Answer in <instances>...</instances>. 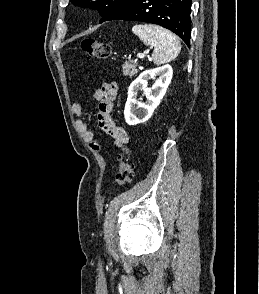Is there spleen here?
Returning a JSON list of instances; mask_svg holds the SVG:
<instances>
[{
	"instance_id": "3e777b00",
	"label": "spleen",
	"mask_w": 259,
	"mask_h": 294,
	"mask_svg": "<svg viewBox=\"0 0 259 294\" xmlns=\"http://www.w3.org/2000/svg\"><path fill=\"white\" fill-rule=\"evenodd\" d=\"M132 32L145 45L154 47L152 59L160 65L175 59L181 50L179 39L167 29L156 25L140 24L132 27Z\"/></svg>"
}]
</instances>
